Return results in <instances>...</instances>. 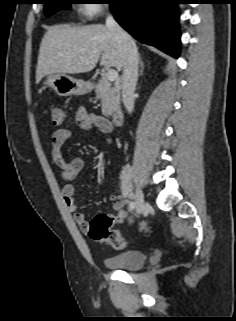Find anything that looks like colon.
<instances>
[{"label":"colon","instance_id":"obj_1","mask_svg":"<svg viewBox=\"0 0 236 321\" xmlns=\"http://www.w3.org/2000/svg\"><path fill=\"white\" fill-rule=\"evenodd\" d=\"M52 123L60 125L66 118L65 111L59 106H52L50 109ZM123 213L106 214L102 213L95 216L88 224L87 234L95 241L108 244L114 249L120 250L125 247V240L122 238L120 232L113 228L115 223L121 221ZM141 231H148V225L141 221L139 223Z\"/></svg>","mask_w":236,"mask_h":321}]
</instances>
